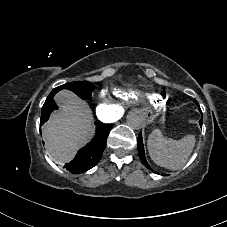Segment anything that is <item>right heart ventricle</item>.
<instances>
[{
	"mask_svg": "<svg viewBox=\"0 0 227 227\" xmlns=\"http://www.w3.org/2000/svg\"><path fill=\"white\" fill-rule=\"evenodd\" d=\"M115 96L128 104L151 103L157 102V97L154 95L143 94L134 90H124L121 88L114 90Z\"/></svg>",
	"mask_w": 227,
	"mask_h": 227,
	"instance_id": "1",
	"label": "right heart ventricle"
}]
</instances>
